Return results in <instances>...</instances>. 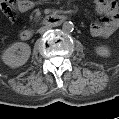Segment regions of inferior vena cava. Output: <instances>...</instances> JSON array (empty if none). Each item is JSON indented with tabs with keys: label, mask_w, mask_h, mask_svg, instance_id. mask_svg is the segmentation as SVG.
I'll return each instance as SVG.
<instances>
[{
	"label": "inferior vena cava",
	"mask_w": 119,
	"mask_h": 119,
	"mask_svg": "<svg viewBox=\"0 0 119 119\" xmlns=\"http://www.w3.org/2000/svg\"><path fill=\"white\" fill-rule=\"evenodd\" d=\"M49 29H50L49 26H43V27H41V28L38 30V32H39L40 34H43V33H45L46 31H48Z\"/></svg>",
	"instance_id": "inferior-vena-cava-1"
}]
</instances>
